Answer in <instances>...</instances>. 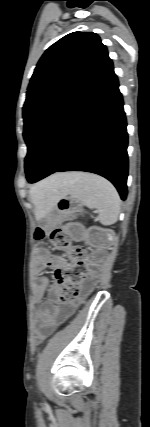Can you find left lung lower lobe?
<instances>
[{
	"label": "left lung lower lobe",
	"instance_id": "obj_1",
	"mask_svg": "<svg viewBox=\"0 0 150 427\" xmlns=\"http://www.w3.org/2000/svg\"><path fill=\"white\" fill-rule=\"evenodd\" d=\"M128 136L123 100L111 63L35 135L25 159L35 183L62 171L101 175L127 195Z\"/></svg>",
	"mask_w": 150,
	"mask_h": 427
}]
</instances>
